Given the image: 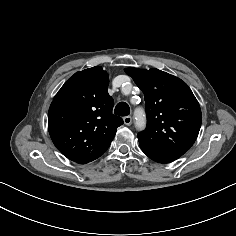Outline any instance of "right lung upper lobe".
I'll list each match as a JSON object with an SVG mask.
<instances>
[{
    "instance_id": "obj_1",
    "label": "right lung upper lobe",
    "mask_w": 236,
    "mask_h": 236,
    "mask_svg": "<svg viewBox=\"0 0 236 236\" xmlns=\"http://www.w3.org/2000/svg\"><path fill=\"white\" fill-rule=\"evenodd\" d=\"M109 78L96 66L75 73L58 91L48 112V130L57 149L85 164L109 147L123 120L112 114Z\"/></svg>"
}]
</instances>
